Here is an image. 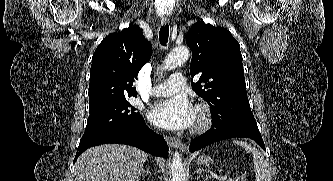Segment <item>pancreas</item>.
Masks as SVG:
<instances>
[{"instance_id":"1","label":"pancreas","mask_w":333,"mask_h":181,"mask_svg":"<svg viewBox=\"0 0 333 181\" xmlns=\"http://www.w3.org/2000/svg\"><path fill=\"white\" fill-rule=\"evenodd\" d=\"M227 181H239V179L238 178H228V179H226Z\"/></svg>"}]
</instances>
